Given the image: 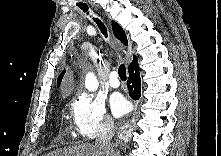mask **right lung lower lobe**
<instances>
[{
    "mask_svg": "<svg viewBox=\"0 0 221 156\" xmlns=\"http://www.w3.org/2000/svg\"><path fill=\"white\" fill-rule=\"evenodd\" d=\"M129 71V77H128V89H129V95L132 99L138 100L141 96V80H140V74H139V66L134 65L130 66L128 68Z\"/></svg>",
    "mask_w": 221,
    "mask_h": 156,
    "instance_id": "right-lung-lower-lobe-1",
    "label": "right lung lower lobe"
}]
</instances>
